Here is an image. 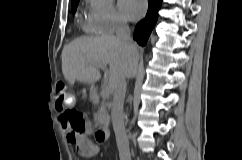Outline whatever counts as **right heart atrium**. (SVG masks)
I'll return each instance as SVG.
<instances>
[{
  "label": "right heart atrium",
  "instance_id": "obj_1",
  "mask_svg": "<svg viewBox=\"0 0 242 160\" xmlns=\"http://www.w3.org/2000/svg\"><path fill=\"white\" fill-rule=\"evenodd\" d=\"M89 25L100 34H111L127 25L124 17L116 9L113 0H88Z\"/></svg>",
  "mask_w": 242,
  "mask_h": 160
}]
</instances>
